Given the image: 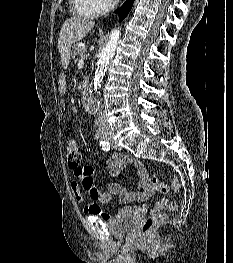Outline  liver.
<instances>
[{
    "label": "liver",
    "instance_id": "liver-1",
    "mask_svg": "<svg viewBox=\"0 0 233 263\" xmlns=\"http://www.w3.org/2000/svg\"><path fill=\"white\" fill-rule=\"evenodd\" d=\"M93 27V21L77 17L69 18L63 23L58 38V49L64 69L69 65L72 44L82 40Z\"/></svg>",
    "mask_w": 233,
    "mask_h": 263
}]
</instances>
